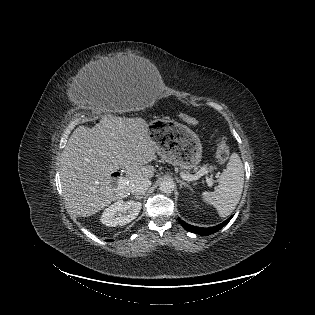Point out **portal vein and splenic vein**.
<instances>
[{
  "mask_svg": "<svg viewBox=\"0 0 315 315\" xmlns=\"http://www.w3.org/2000/svg\"><path fill=\"white\" fill-rule=\"evenodd\" d=\"M207 173H208L207 170L200 169L195 175H187V174H184V173H180V176L184 180L190 182V181L198 180L203 175H206V177H205L206 178V182H207L209 187H212V185H213L212 179L207 175ZM126 184H128L127 178L124 177V176L119 177L117 190L122 189Z\"/></svg>",
  "mask_w": 315,
  "mask_h": 315,
  "instance_id": "portal-vein-and-splenic-vein-1",
  "label": "portal vein and splenic vein"
}]
</instances>
